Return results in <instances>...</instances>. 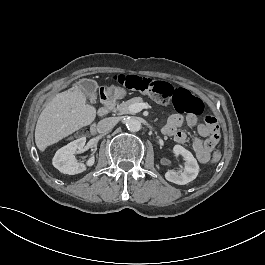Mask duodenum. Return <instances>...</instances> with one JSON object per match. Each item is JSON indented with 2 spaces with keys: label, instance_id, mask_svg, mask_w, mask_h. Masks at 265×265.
Instances as JSON below:
<instances>
[{
  "label": "duodenum",
  "instance_id": "410a0bca",
  "mask_svg": "<svg viewBox=\"0 0 265 265\" xmlns=\"http://www.w3.org/2000/svg\"><path fill=\"white\" fill-rule=\"evenodd\" d=\"M99 95L101 96L102 99V106L99 109L98 113L100 116H103L114 108L113 106L114 98L111 95H109L107 91L103 88L99 90ZM92 130L93 132H96L95 127H93Z\"/></svg>",
  "mask_w": 265,
  "mask_h": 265
}]
</instances>
